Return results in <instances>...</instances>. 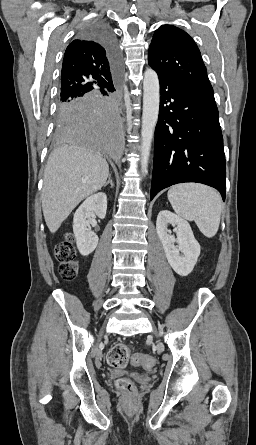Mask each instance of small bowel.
<instances>
[{
	"mask_svg": "<svg viewBox=\"0 0 256 445\" xmlns=\"http://www.w3.org/2000/svg\"><path fill=\"white\" fill-rule=\"evenodd\" d=\"M151 365H152V363L151 364H142L143 368H145V369H150Z\"/></svg>",
	"mask_w": 256,
	"mask_h": 445,
	"instance_id": "c3829d8e",
	"label": "small bowel"
}]
</instances>
